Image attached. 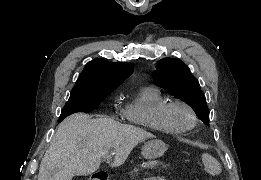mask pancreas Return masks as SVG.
Here are the masks:
<instances>
[{
  "label": "pancreas",
  "instance_id": "pancreas-1",
  "mask_svg": "<svg viewBox=\"0 0 261 180\" xmlns=\"http://www.w3.org/2000/svg\"><path fill=\"white\" fill-rule=\"evenodd\" d=\"M172 163L166 162L165 159H139V162H133L131 169L124 171V176H131L137 178L145 176L146 170H168L171 169Z\"/></svg>",
  "mask_w": 261,
  "mask_h": 180
}]
</instances>
